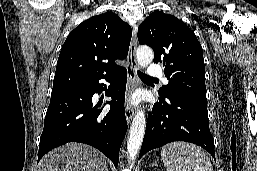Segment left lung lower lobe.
<instances>
[{
    "mask_svg": "<svg viewBox=\"0 0 257 171\" xmlns=\"http://www.w3.org/2000/svg\"><path fill=\"white\" fill-rule=\"evenodd\" d=\"M149 115L139 159L148 151L174 141H187L207 150L215 159L206 100L184 94L159 95Z\"/></svg>",
    "mask_w": 257,
    "mask_h": 171,
    "instance_id": "left-lung-lower-lobe-1",
    "label": "left lung lower lobe"
}]
</instances>
